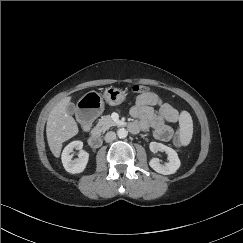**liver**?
<instances>
[{
  "label": "liver",
  "instance_id": "obj_1",
  "mask_svg": "<svg viewBox=\"0 0 243 243\" xmlns=\"http://www.w3.org/2000/svg\"><path fill=\"white\" fill-rule=\"evenodd\" d=\"M70 100V96L61 99L52 108L47 118V141L52 154L57 158L60 156L62 143L79 132L75 119L66 111Z\"/></svg>",
  "mask_w": 243,
  "mask_h": 243
}]
</instances>
